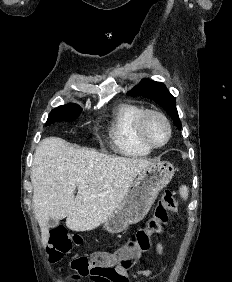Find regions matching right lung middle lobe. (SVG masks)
<instances>
[{
    "instance_id": "dd1d6c3e",
    "label": "right lung middle lobe",
    "mask_w": 232,
    "mask_h": 282,
    "mask_svg": "<svg viewBox=\"0 0 232 282\" xmlns=\"http://www.w3.org/2000/svg\"><path fill=\"white\" fill-rule=\"evenodd\" d=\"M81 110L80 106L73 103L59 106L50 112L46 126L56 122H71L78 117Z\"/></svg>"
}]
</instances>
